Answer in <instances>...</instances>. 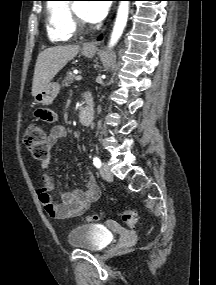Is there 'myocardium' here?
Masks as SVG:
<instances>
[{"label": "myocardium", "instance_id": "1", "mask_svg": "<svg viewBox=\"0 0 216 285\" xmlns=\"http://www.w3.org/2000/svg\"><path fill=\"white\" fill-rule=\"evenodd\" d=\"M70 9V18L71 24L74 29V32H83L88 29L86 21L76 12L74 4L69 6Z\"/></svg>", "mask_w": 216, "mask_h": 285}]
</instances>
